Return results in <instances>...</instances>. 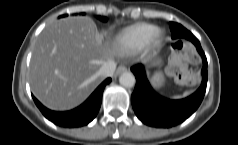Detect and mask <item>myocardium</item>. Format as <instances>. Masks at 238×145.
I'll use <instances>...</instances> for the list:
<instances>
[{
  "instance_id": "f54148a6",
  "label": "myocardium",
  "mask_w": 238,
  "mask_h": 145,
  "mask_svg": "<svg viewBox=\"0 0 238 145\" xmlns=\"http://www.w3.org/2000/svg\"><path fill=\"white\" fill-rule=\"evenodd\" d=\"M161 36H162V31L160 29H157L153 39L150 42L157 43L159 39L161 38Z\"/></svg>"
}]
</instances>
